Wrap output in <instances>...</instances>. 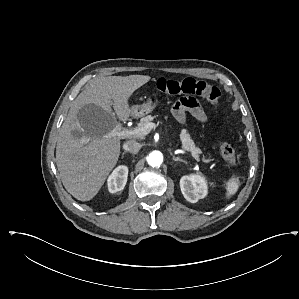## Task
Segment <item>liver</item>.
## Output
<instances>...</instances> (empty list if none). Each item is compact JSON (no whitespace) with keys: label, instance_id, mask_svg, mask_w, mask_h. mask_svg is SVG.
Returning <instances> with one entry per match:
<instances>
[{"label":"liver","instance_id":"liver-1","mask_svg":"<svg viewBox=\"0 0 299 299\" xmlns=\"http://www.w3.org/2000/svg\"><path fill=\"white\" fill-rule=\"evenodd\" d=\"M150 76H108L94 79L73 101L61 126L56 164L65 189L77 200L93 199L120 155V138H107L116 117L131 116L128 100Z\"/></svg>","mask_w":299,"mask_h":299}]
</instances>
